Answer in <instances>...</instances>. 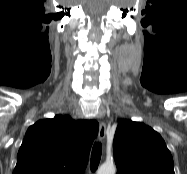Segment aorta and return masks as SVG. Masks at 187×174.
<instances>
[{
	"instance_id": "762f6f07",
	"label": "aorta",
	"mask_w": 187,
	"mask_h": 174,
	"mask_svg": "<svg viewBox=\"0 0 187 174\" xmlns=\"http://www.w3.org/2000/svg\"><path fill=\"white\" fill-rule=\"evenodd\" d=\"M116 168L112 163H105L100 166L97 171V174H115Z\"/></svg>"
}]
</instances>
